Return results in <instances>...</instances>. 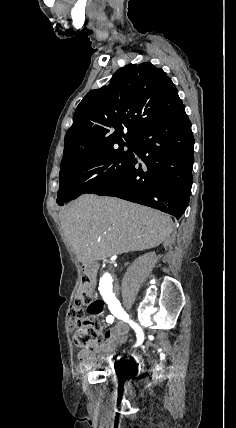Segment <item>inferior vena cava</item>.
Masks as SVG:
<instances>
[{
  "instance_id": "inferior-vena-cava-1",
  "label": "inferior vena cava",
  "mask_w": 236,
  "mask_h": 428,
  "mask_svg": "<svg viewBox=\"0 0 236 428\" xmlns=\"http://www.w3.org/2000/svg\"><path fill=\"white\" fill-rule=\"evenodd\" d=\"M115 289H116V291H115L116 293H115V294L118 296V295L120 294V293H119V292H120V291H119V289H120V288L117 286Z\"/></svg>"
}]
</instances>
